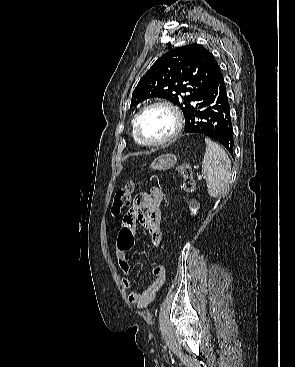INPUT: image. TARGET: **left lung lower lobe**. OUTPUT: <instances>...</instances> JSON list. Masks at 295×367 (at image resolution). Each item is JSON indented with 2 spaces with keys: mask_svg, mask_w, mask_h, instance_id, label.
I'll use <instances>...</instances> for the list:
<instances>
[{
  "mask_svg": "<svg viewBox=\"0 0 295 367\" xmlns=\"http://www.w3.org/2000/svg\"><path fill=\"white\" fill-rule=\"evenodd\" d=\"M185 116L184 133L213 138L233 156L234 137L226 86L219 66L196 97Z\"/></svg>",
  "mask_w": 295,
  "mask_h": 367,
  "instance_id": "left-lung-lower-lobe-1",
  "label": "left lung lower lobe"
}]
</instances>
